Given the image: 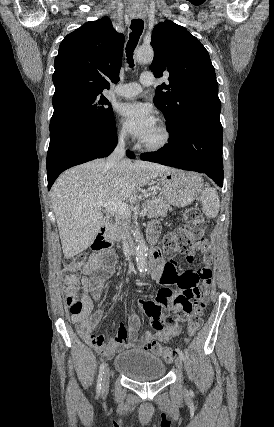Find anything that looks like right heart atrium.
<instances>
[{"instance_id":"1","label":"right heart atrium","mask_w":274,"mask_h":427,"mask_svg":"<svg viewBox=\"0 0 274 427\" xmlns=\"http://www.w3.org/2000/svg\"><path fill=\"white\" fill-rule=\"evenodd\" d=\"M117 139L121 144H125L126 143V133L124 131H120L117 135Z\"/></svg>"}]
</instances>
